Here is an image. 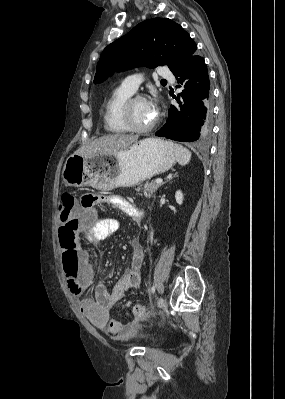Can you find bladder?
I'll return each mask as SVG.
<instances>
[{
  "label": "bladder",
  "mask_w": 285,
  "mask_h": 399,
  "mask_svg": "<svg viewBox=\"0 0 285 399\" xmlns=\"http://www.w3.org/2000/svg\"><path fill=\"white\" fill-rule=\"evenodd\" d=\"M133 336H139V333L137 331H133Z\"/></svg>",
  "instance_id": "bladder-1"
}]
</instances>
